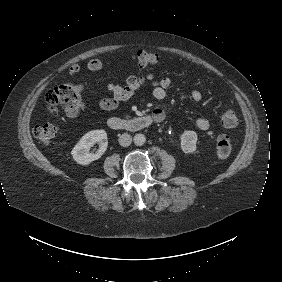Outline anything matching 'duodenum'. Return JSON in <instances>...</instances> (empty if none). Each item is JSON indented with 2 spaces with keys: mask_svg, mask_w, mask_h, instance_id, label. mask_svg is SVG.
I'll use <instances>...</instances> for the list:
<instances>
[{
  "mask_svg": "<svg viewBox=\"0 0 282 282\" xmlns=\"http://www.w3.org/2000/svg\"><path fill=\"white\" fill-rule=\"evenodd\" d=\"M160 121H162V119L160 117H156L155 114H144L128 120L113 117L108 119L107 125L112 129H126L134 131L149 127L153 123Z\"/></svg>",
  "mask_w": 282,
  "mask_h": 282,
  "instance_id": "obj_1",
  "label": "duodenum"
}]
</instances>
